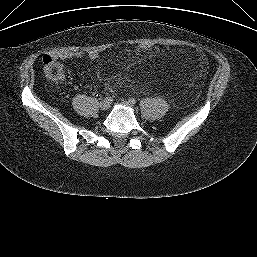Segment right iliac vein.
I'll use <instances>...</instances> for the list:
<instances>
[{"instance_id": "obj_1", "label": "right iliac vein", "mask_w": 257, "mask_h": 257, "mask_svg": "<svg viewBox=\"0 0 257 257\" xmlns=\"http://www.w3.org/2000/svg\"><path fill=\"white\" fill-rule=\"evenodd\" d=\"M109 103L105 102V101H102L100 102L99 104V107L102 111H106L108 108H109Z\"/></svg>"}]
</instances>
